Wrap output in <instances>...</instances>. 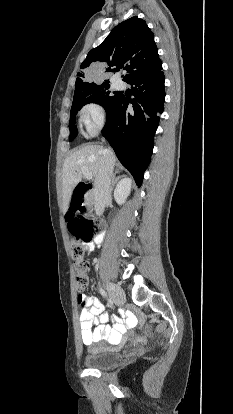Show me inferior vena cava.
Wrapping results in <instances>:
<instances>
[{"label": "inferior vena cava", "instance_id": "inferior-vena-cava-1", "mask_svg": "<svg viewBox=\"0 0 233 414\" xmlns=\"http://www.w3.org/2000/svg\"><path fill=\"white\" fill-rule=\"evenodd\" d=\"M114 155L108 148L104 151L101 168L95 177L94 183V200L95 212L102 215L105 205L111 198V180L113 177Z\"/></svg>", "mask_w": 233, "mask_h": 414}]
</instances>
